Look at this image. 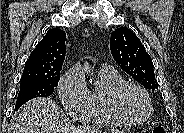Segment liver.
<instances>
[{"label": "liver", "instance_id": "liver-1", "mask_svg": "<svg viewBox=\"0 0 184 133\" xmlns=\"http://www.w3.org/2000/svg\"><path fill=\"white\" fill-rule=\"evenodd\" d=\"M59 116V107L51 98L32 99L14 115L13 133H101L90 127H64Z\"/></svg>", "mask_w": 184, "mask_h": 133}]
</instances>
